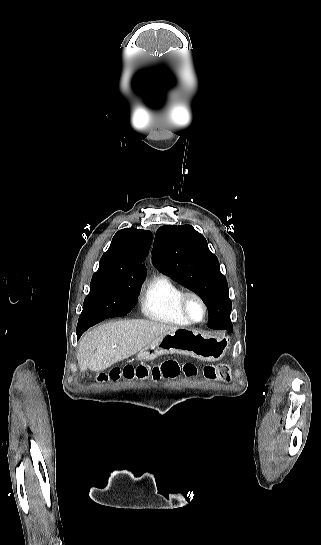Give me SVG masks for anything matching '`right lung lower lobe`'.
I'll use <instances>...</instances> for the list:
<instances>
[{
  "label": "right lung lower lobe",
  "instance_id": "obj_1",
  "mask_svg": "<svg viewBox=\"0 0 321 545\" xmlns=\"http://www.w3.org/2000/svg\"><path fill=\"white\" fill-rule=\"evenodd\" d=\"M137 296L136 295H121L119 297H116L112 299L110 302H108L107 305L104 306L101 317L99 319L90 321V322H83V323L78 322L77 339H79L80 336L88 328L103 321L104 319L127 315L135 306Z\"/></svg>",
  "mask_w": 321,
  "mask_h": 545
}]
</instances>
